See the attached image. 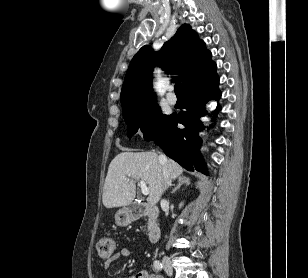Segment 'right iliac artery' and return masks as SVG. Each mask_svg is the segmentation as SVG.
I'll use <instances>...</instances> for the list:
<instances>
[{
    "instance_id": "obj_1",
    "label": "right iliac artery",
    "mask_w": 308,
    "mask_h": 278,
    "mask_svg": "<svg viewBox=\"0 0 308 278\" xmlns=\"http://www.w3.org/2000/svg\"><path fill=\"white\" fill-rule=\"evenodd\" d=\"M153 266L158 271H161L163 268L162 263L158 260L154 261Z\"/></svg>"
}]
</instances>
